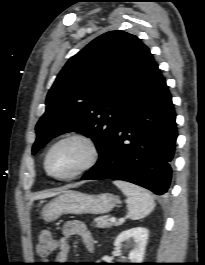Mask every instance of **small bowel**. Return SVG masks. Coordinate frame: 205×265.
Returning a JSON list of instances; mask_svg holds the SVG:
<instances>
[{
    "label": "small bowel",
    "instance_id": "1",
    "mask_svg": "<svg viewBox=\"0 0 205 265\" xmlns=\"http://www.w3.org/2000/svg\"><path fill=\"white\" fill-rule=\"evenodd\" d=\"M74 236H79L81 238L88 252L94 250L93 237L86 226L77 220L67 221L62 229V237L58 241V253L55 257V264L60 265L67 260L70 252L69 240Z\"/></svg>",
    "mask_w": 205,
    "mask_h": 265
}]
</instances>
